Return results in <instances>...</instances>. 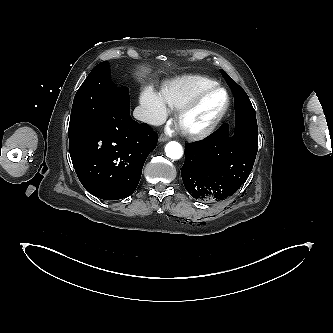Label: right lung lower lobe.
<instances>
[{
  "instance_id": "obj_1",
  "label": "right lung lower lobe",
  "mask_w": 333,
  "mask_h": 333,
  "mask_svg": "<svg viewBox=\"0 0 333 333\" xmlns=\"http://www.w3.org/2000/svg\"><path fill=\"white\" fill-rule=\"evenodd\" d=\"M76 174L92 195L117 200L136 189L144 162L156 147L157 134L130 116L129 89L120 87L102 114L85 130L69 137Z\"/></svg>"
}]
</instances>
